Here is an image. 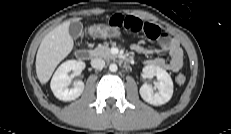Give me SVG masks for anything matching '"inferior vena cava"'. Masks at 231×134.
Listing matches in <instances>:
<instances>
[{
  "mask_svg": "<svg viewBox=\"0 0 231 134\" xmlns=\"http://www.w3.org/2000/svg\"><path fill=\"white\" fill-rule=\"evenodd\" d=\"M91 66L96 69H102L105 66V61L101 58L92 59Z\"/></svg>",
  "mask_w": 231,
  "mask_h": 134,
  "instance_id": "1",
  "label": "inferior vena cava"
}]
</instances>
